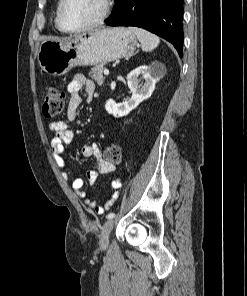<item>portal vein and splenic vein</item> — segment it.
Returning <instances> with one entry per match:
<instances>
[{"label":"portal vein and splenic vein","instance_id":"portal-vein-and-splenic-vein-1","mask_svg":"<svg viewBox=\"0 0 247 296\" xmlns=\"http://www.w3.org/2000/svg\"><path fill=\"white\" fill-rule=\"evenodd\" d=\"M104 74L105 75H109V70L108 69H104Z\"/></svg>","mask_w":247,"mask_h":296}]
</instances>
